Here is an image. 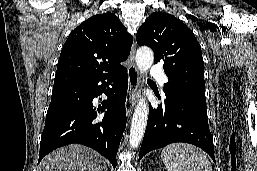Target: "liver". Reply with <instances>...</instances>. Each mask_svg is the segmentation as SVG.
Returning <instances> with one entry per match:
<instances>
[{
    "label": "liver",
    "mask_w": 257,
    "mask_h": 171,
    "mask_svg": "<svg viewBox=\"0 0 257 171\" xmlns=\"http://www.w3.org/2000/svg\"><path fill=\"white\" fill-rule=\"evenodd\" d=\"M105 162L96 151L79 144L54 150L43 158L39 171H103Z\"/></svg>",
    "instance_id": "1"
}]
</instances>
